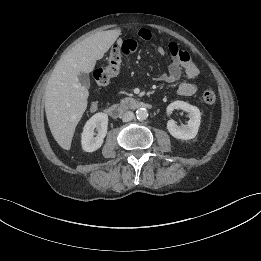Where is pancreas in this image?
Instances as JSON below:
<instances>
[{
    "mask_svg": "<svg viewBox=\"0 0 261 261\" xmlns=\"http://www.w3.org/2000/svg\"><path fill=\"white\" fill-rule=\"evenodd\" d=\"M127 100H128V99H123V100H121V103H122V104H125V103L127 102Z\"/></svg>",
    "mask_w": 261,
    "mask_h": 261,
    "instance_id": "cf45deb5",
    "label": "pancreas"
}]
</instances>
